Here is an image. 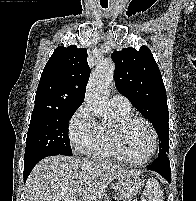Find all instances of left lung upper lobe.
<instances>
[{
  "mask_svg": "<svg viewBox=\"0 0 196 201\" xmlns=\"http://www.w3.org/2000/svg\"><path fill=\"white\" fill-rule=\"evenodd\" d=\"M115 85L149 121L159 137V154L169 153V113L162 76L150 49L124 48L112 54Z\"/></svg>",
  "mask_w": 196,
  "mask_h": 201,
  "instance_id": "obj_1",
  "label": "left lung upper lobe"
}]
</instances>
